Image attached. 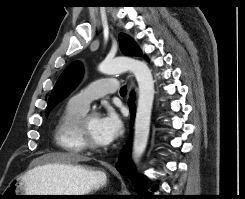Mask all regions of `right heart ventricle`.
Masks as SVG:
<instances>
[{
  "instance_id": "obj_1",
  "label": "right heart ventricle",
  "mask_w": 245,
  "mask_h": 199,
  "mask_svg": "<svg viewBox=\"0 0 245 199\" xmlns=\"http://www.w3.org/2000/svg\"><path fill=\"white\" fill-rule=\"evenodd\" d=\"M86 111L68 103L55 126L54 137L57 145L71 155L83 153L85 149L77 136V125Z\"/></svg>"
}]
</instances>
